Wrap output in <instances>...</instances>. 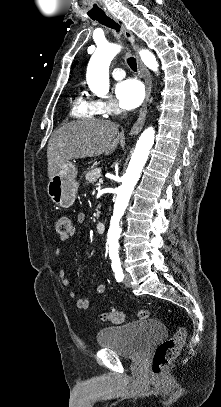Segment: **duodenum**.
Masks as SVG:
<instances>
[{"instance_id":"410a0bca","label":"duodenum","mask_w":221,"mask_h":407,"mask_svg":"<svg viewBox=\"0 0 221 407\" xmlns=\"http://www.w3.org/2000/svg\"><path fill=\"white\" fill-rule=\"evenodd\" d=\"M96 231H97L99 234H102V233L105 231V224H104V222H101V221L97 222V224H96Z\"/></svg>"}]
</instances>
